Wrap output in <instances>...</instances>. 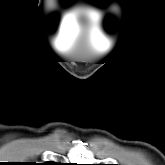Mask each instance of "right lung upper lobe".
<instances>
[{"label": "right lung upper lobe", "instance_id": "right-lung-upper-lobe-1", "mask_svg": "<svg viewBox=\"0 0 165 165\" xmlns=\"http://www.w3.org/2000/svg\"><path fill=\"white\" fill-rule=\"evenodd\" d=\"M47 165H56V163L50 162V163H46Z\"/></svg>", "mask_w": 165, "mask_h": 165}]
</instances>
